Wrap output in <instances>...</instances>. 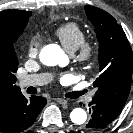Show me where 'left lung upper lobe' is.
<instances>
[{"instance_id":"obj_1","label":"left lung upper lobe","mask_w":133,"mask_h":133,"mask_svg":"<svg viewBox=\"0 0 133 133\" xmlns=\"http://www.w3.org/2000/svg\"><path fill=\"white\" fill-rule=\"evenodd\" d=\"M88 19L95 27L99 42V77L93 83L95 96L123 107L132 79L133 53L122 27L109 13L86 5Z\"/></svg>"}]
</instances>
